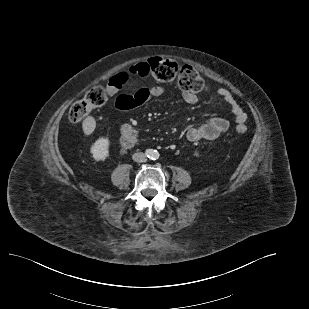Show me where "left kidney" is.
<instances>
[{
	"label": "left kidney",
	"instance_id": "obj_1",
	"mask_svg": "<svg viewBox=\"0 0 309 309\" xmlns=\"http://www.w3.org/2000/svg\"><path fill=\"white\" fill-rule=\"evenodd\" d=\"M195 156H199V153H195Z\"/></svg>",
	"mask_w": 309,
	"mask_h": 309
}]
</instances>
